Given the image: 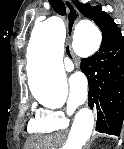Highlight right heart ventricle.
Listing matches in <instances>:
<instances>
[{
	"label": "right heart ventricle",
	"instance_id": "e07e8e85",
	"mask_svg": "<svg viewBox=\"0 0 124 149\" xmlns=\"http://www.w3.org/2000/svg\"><path fill=\"white\" fill-rule=\"evenodd\" d=\"M61 127L54 125V123L45 116L37 115L33 119H31L28 130L30 133L38 134V135H47L54 133Z\"/></svg>",
	"mask_w": 124,
	"mask_h": 149
}]
</instances>
